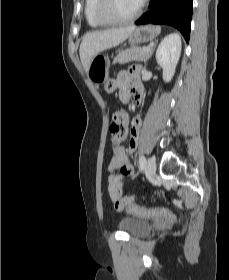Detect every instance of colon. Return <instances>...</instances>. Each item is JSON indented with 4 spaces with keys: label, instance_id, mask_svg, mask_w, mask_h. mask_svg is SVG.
<instances>
[{
    "label": "colon",
    "instance_id": "5ec220e1",
    "mask_svg": "<svg viewBox=\"0 0 229 280\" xmlns=\"http://www.w3.org/2000/svg\"><path fill=\"white\" fill-rule=\"evenodd\" d=\"M109 130L111 145H119L127 134V115L123 111H119L114 115ZM115 206L121 209L126 208L132 214L143 218L167 216L171 214V212L165 208H144L136 206L129 199H117L115 201Z\"/></svg>",
    "mask_w": 229,
    "mask_h": 280
}]
</instances>
